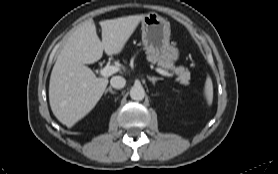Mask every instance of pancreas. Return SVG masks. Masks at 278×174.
<instances>
[{"mask_svg":"<svg viewBox=\"0 0 278 174\" xmlns=\"http://www.w3.org/2000/svg\"><path fill=\"white\" fill-rule=\"evenodd\" d=\"M147 59L152 63H157L158 66H160L162 68L172 70L173 73L178 75V80L182 84H188V82L190 80V72L187 69H185L184 67H174L172 62L158 59L157 57L150 55V54H148Z\"/></svg>","mask_w":278,"mask_h":174,"instance_id":"cf45deb5","label":"pancreas"}]
</instances>
